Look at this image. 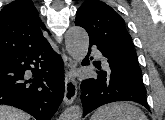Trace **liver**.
I'll return each mask as SVG.
<instances>
[{
	"label": "liver",
	"mask_w": 165,
	"mask_h": 120,
	"mask_svg": "<svg viewBox=\"0 0 165 120\" xmlns=\"http://www.w3.org/2000/svg\"><path fill=\"white\" fill-rule=\"evenodd\" d=\"M0 120H30V115L15 107L0 105Z\"/></svg>",
	"instance_id": "liver-1"
}]
</instances>
